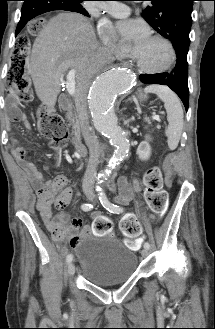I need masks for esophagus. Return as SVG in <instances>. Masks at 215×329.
<instances>
[{"instance_id":"obj_1","label":"esophagus","mask_w":215,"mask_h":329,"mask_svg":"<svg viewBox=\"0 0 215 329\" xmlns=\"http://www.w3.org/2000/svg\"><path fill=\"white\" fill-rule=\"evenodd\" d=\"M129 63H125L124 65H128Z\"/></svg>"}]
</instances>
